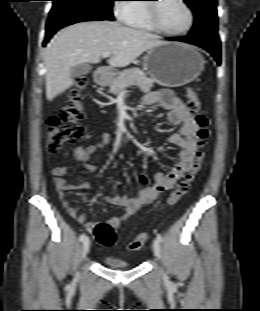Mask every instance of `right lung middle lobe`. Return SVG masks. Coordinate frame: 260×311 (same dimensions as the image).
<instances>
[{
    "instance_id": "dd1d6c3e",
    "label": "right lung middle lobe",
    "mask_w": 260,
    "mask_h": 311,
    "mask_svg": "<svg viewBox=\"0 0 260 311\" xmlns=\"http://www.w3.org/2000/svg\"><path fill=\"white\" fill-rule=\"evenodd\" d=\"M53 7L50 12L61 10L87 13L114 20L111 8L115 0H52Z\"/></svg>"
}]
</instances>
